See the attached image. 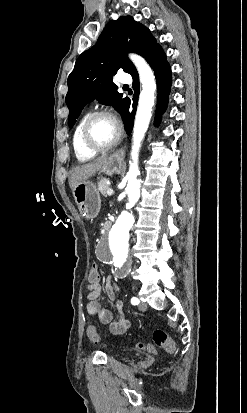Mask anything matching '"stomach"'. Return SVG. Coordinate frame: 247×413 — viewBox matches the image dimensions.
<instances>
[{"instance_id":"0dacf381","label":"stomach","mask_w":247,"mask_h":413,"mask_svg":"<svg viewBox=\"0 0 247 413\" xmlns=\"http://www.w3.org/2000/svg\"><path fill=\"white\" fill-rule=\"evenodd\" d=\"M123 160L122 156H118L114 152V154L106 158V162H103L101 166L102 172H105V174L120 172ZM73 196L84 219H94V217H97L101 207V196L94 182H91V180L79 182L73 190Z\"/></svg>"}]
</instances>
